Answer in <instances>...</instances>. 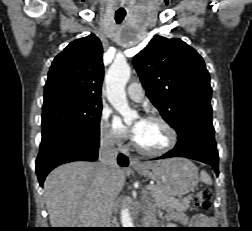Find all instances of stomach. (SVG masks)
I'll return each instance as SVG.
<instances>
[{"mask_svg":"<svg viewBox=\"0 0 252 231\" xmlns=\"http://www.w3.org/2000/svg\"><path fill=\"white\" fill-rule=\"evenodd\" d=\"M136 171L156 182L161 194L166 197L182 196L197 186L198 170L185 158H170L155 163H145Z\"/></svg>","mask_w":252,"mask_h":231,"instance_id":"obj_1","label":"stomach"}]
</instances>
